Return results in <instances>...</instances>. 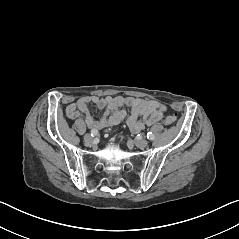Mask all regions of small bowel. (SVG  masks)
Listing matches in <instances>:
<instances>
[{
	"mask_svg": "<svg viewBox=\"0 0 239 239\" xmlns=\"http://www.w3.org/2000/svg\"><path fill=\"white\" fill-rule=\"evenodd\" d=\"M93 103L105 112L100 119H95L88 111V105ZM127 106L130 113L122 109ZM166 106L155 100L123 96H84L66 107V115L70 119L82 118L90 129L100 130L119 124L126 118L127 125L134 133L146 126L157 123L166 112Z\"/></svg>",
	"mask_w": 239,
	"mask_h": 239,
	"instance_id": "c3829d8e",
	"label": "small bowel"
}]
</instances>
